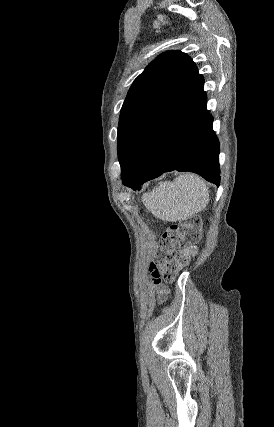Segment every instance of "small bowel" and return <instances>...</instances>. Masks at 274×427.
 I'll use <instances>...</instances> for the list:
<instances>
[{
    "label": "small bowel",
    "instance_id": "obj_1",
    "mask_svg": "<svg viewBox=\"0 0 274 427\" xmlns=\"http://www.w3.org/2000/svg\"><path fill=\"white\" fill-rule=\"evenodd\" d=\"M161 254L164 257L172 256L174 254H181V251H161ZM170 266L171 269H168ZM185 268V263L183 261H173L168 264L167 261H160L158 265L153 264L150 266V271L152 273V286L157 288V293L164 298L167 289L162 284H170L172 282V278H176L178 276L177 270H183Z\"/></svg>",
    "mask_w": 274,
    "mask_h": 427
}]
</instances>
